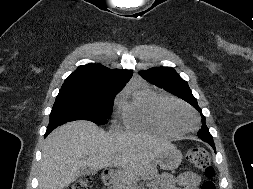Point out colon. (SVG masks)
Returning a JSON list of instances; mask_svg holds the SVG:
<instances>
[{
  "label": "colon",
  "instance_id": "obj_1",
  "mask_svg": "<svg viewBox=\"0 0 253 189\" xmlns=\"http://www.w3.org/2000/svg\"><path fill=\"white\" fill-rule=\"evenodd\" d=\"M187 160L192 167L203 171L206 176L201 189H216L213 181L214 168L211 165L209 153L200 147L193 148L188 152ZM66 189H92V179L90 177H82Z\"/></svg>",
  "mask_w": 253,
  "mask_h": 189
}]
</instances>
